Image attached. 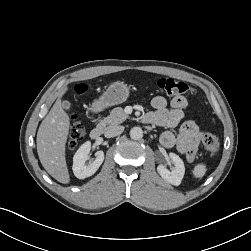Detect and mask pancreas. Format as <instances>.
I'll list each match as a JSON object with an SVG mask.
<instances>
[{"mask_svg": "<svg viewBox=\"0 0 251 251\" xmlns=\"http://www.w3.org/2000/svg\"><path fill=\"white\" fill-rule=\"evenodd\" d=\"M128 117L129 116L125 113L123 108L116 107L110 112L109 116L100 121L99 126L104 129H108L121 124Z\"/></svg>", "mask_w": 251, "mask_h": 251, "instance_id": "cf45deb5", "label": "pancreas"}]
</instances>
